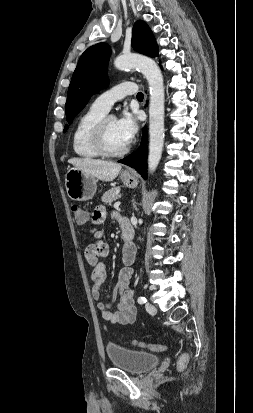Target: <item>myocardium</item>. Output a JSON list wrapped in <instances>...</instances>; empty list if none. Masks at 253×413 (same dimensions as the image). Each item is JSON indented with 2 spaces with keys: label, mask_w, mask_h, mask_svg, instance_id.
<instances>
[{
  "label": "myocardium",
  "mask_w": 253,
  "mask_h": 413,
  "mask_svg": "<svg viewBox=\"0 0 253 413\" xmlns=\"http://www.w3.org/2000/svg\"><path fill=\"white\" fill-rule=\"evenodd\" d=\"M112 118L111 116H104L96 122L90 133V140L94 149L101 155L105 157H118L122 156L129 150V146L125 145L119 150H111L107 147L105 141V124L106 121Z\"/></svg>",
  "instance_id": "obj_1"
}]
</instances>
